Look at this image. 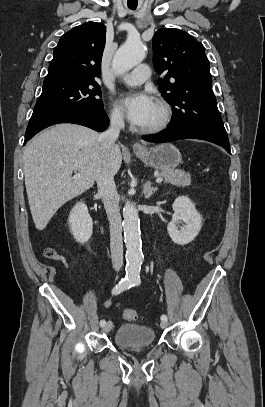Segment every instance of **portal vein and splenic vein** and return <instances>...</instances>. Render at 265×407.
Instances as JSON below:
<instances>
[{
    "instance_id": "obj_1",
    "label": "portal vein and splenic vein",
    "mask_w": 265,
    "mask_h": 407,
    "mask_svg": "<svg viewBox=\"0 0 265 407\" xmlns=\"http://www.w3.org/2000/svg\"><path fill=\"white\" fill-rule=\"evenodd\" d=\"M81 176V174H77L76 175V177H80ZM163 181V178L162 177H158L157 179H156V182L157 183H161Z\"/></svg>"
}]
</instances>
